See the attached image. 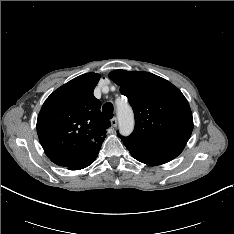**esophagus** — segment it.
<instances>
[{"instance_id": "esophagus-1", "label": "esophagus", "mask_w": 234, "mask_h": 234, "mask_svg": "<svg viewBox=\"0 0 234 234\" xmlns=\"http://www.w3.org/2000/svg\"><path fill=\"white\" fill-rule=\"evenodd\" d=\"M117 124H118V119H117V117H114V118L111 120V125H112L113 127H116Z\"/></svg>"}]
</instances>
